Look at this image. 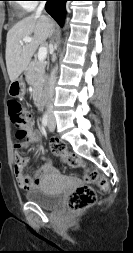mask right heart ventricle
<instances>
[{
	"label": "right heart ventricle",
	"mask_w": 133,
	"mask_h": 253,
	"mask_svg": "<svg viewBox=\"0 0 133 253\" xmlns=\"http://www.w3.org/2000/svg\"><path fill=\"white\" fill-rule=\"evenodd\" d=\"M14 7H15L17 10H19V11L23 10V7H22L21 3H15V4H14Z\"/></svg>",
	"instance_id": "1"
}]
</instances>
